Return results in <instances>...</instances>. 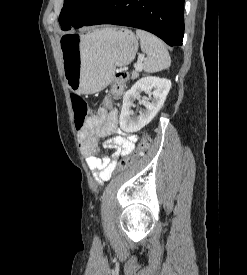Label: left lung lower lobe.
<instances>
[{
    "label": "left lung lower lobe",
    "instance_id": "1",
    "mask_svg": "<svg viewBox=\"0 0 247 275\" xmlns=\"http://www.w3.org/2000/svg\"><path fill=\"white\" fill-rule=\"evenodd\" d=\"M183 5L184 0H106L83 26L115 24L135 27L155 34L170 46H181Z\"/></svg>",
    "mask_w": 247,
    "mask_h": 275
}]
</instances>
